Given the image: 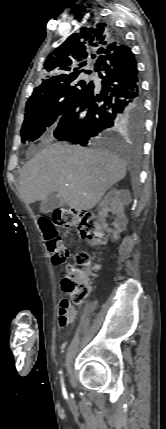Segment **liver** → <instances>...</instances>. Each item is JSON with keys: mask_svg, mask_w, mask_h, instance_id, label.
<instances>
[{"mask_svg": "<svg viewBox=\"0 0 166 429\" xmlns=\"http://www.w3.org/2000/svg\"><path fill=\"white\" fill-rule=\"evenodd\" d=\"M126 172V163L108 150L52 144L22 168L19 193L26 204L57 193L70 208L90 210Z\"/></svg>", "mask_w": 166, "mask_h": 429, "instance_id": "obj_1", "label": "liver"}]
</instances>
